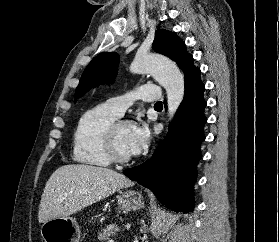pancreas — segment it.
Listing matches in <instances>:
<instances>
[{
    "mask_svg": "<svg viewBox=\"0 0 279 242\" xmlns=\"http://www.w3.org/2000/svg\"><path fill=\"white\" fill-rule=\"evenodd\" d=\"M119 231V227L116 224H110L102 229L100 233H98V240L103 242L109 239V237H113L116 235V232Z\"/></svg>",
    "mask_w": 279,
    "mask_h": 242,
    "instance_id": "obj_1",
    "label": "pancreas"
}]
</instances>
